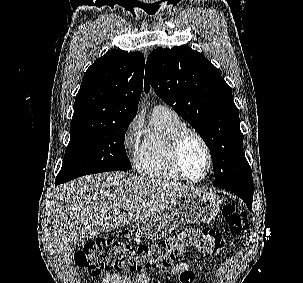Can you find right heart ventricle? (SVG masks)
I'll return each mask as SVG.
<instances>
[{"label": "right heart ventricle", "mask_w": 303, "mask_h": 283, "mask_svg": "<svg viewBox=\"0 0 303 283\" xmlns=\"http://www.w3.org/2000/svg\"><path fill=\"white\" fill-rule=\"evenodd\" d=\"M184 127L179 115L171 109L154 110L145 136L135 150L137 171L150 178L184 180L174 165L171 153L173 138Z\"/></svg>", "instance_id": "1"}]
</instances>
